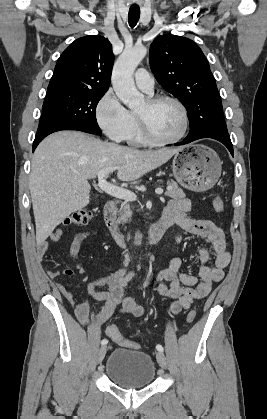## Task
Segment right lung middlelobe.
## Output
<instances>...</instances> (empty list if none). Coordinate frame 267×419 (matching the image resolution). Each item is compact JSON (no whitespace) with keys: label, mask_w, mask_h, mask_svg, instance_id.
Listing matches in <instances>:
<instances>
[{"label":"right lung middle lobe","mask_w":267,"mask_h":419,"mask_svg":"<svg viewBox=\"0 0 267 419\" xmlns=\"http://www.w3.org/2000/svg\"><path fill=\"white\" fill-rule=\"evenodd\" d=\"M104 94L105 92L71 90L47 93L42 112L101 133L95 111Z\"/></svg>","instance_id":"obj_1"}]
</instances>
